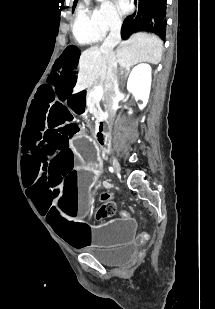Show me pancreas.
Instances as JSON below:
<instances>
[{"instance_id":"cf45deb5","label":"pancreas","mask_w":215,"mask_h":309,"mask_svg":"<svg viewBox=\"0 0 215 309\" xmlns=\"http://www.w3.org/2000/svg\"><path fill=\"white\" fill-rule=\"evenodd\" d=\"M95 90L94 86H91V88H88L86 98H87V106L89 112H92L94 116H96L95 124L98 126L100 120L104 118L105 112L101 108L100 100L98 98H95L93 96L92 92Z\"/></svg>"}]
</instances>
